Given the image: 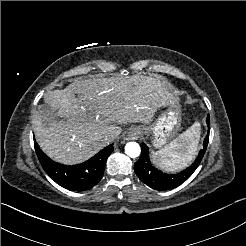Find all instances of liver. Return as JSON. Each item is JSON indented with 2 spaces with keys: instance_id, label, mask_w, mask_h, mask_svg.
<instances>
[{
  "instance_id": "6515ba94",
  "label": "liver",
  "mask_w": 246,
  "mask_h": 246,
  "mask_svg": "<svg viewBox=\"0 0 246 246\" xmlns=\"http://www.w3.org/2000/svg\"><path fill=\"white\" fill-rule=\"evenodd\" d=\"M168 99L162 84L152 78L77 81L50 99L48 107L55 112L53 118L46 119L43 110L36 114L35 137L55 161L77 164L114 141L108 135L113 131L121 133L117 124L149 123L160 103Z\"/></svg>"
}]
</instances>
